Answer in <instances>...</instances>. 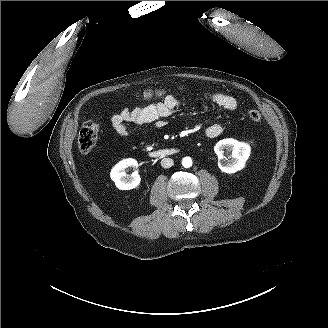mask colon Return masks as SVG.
Wrapping results in <instances>:
<instances>
[{
    "label": "colon",
    "instance_id": "1",
    "mask_svg": "<svg viewBox=\"0 0 328 328\" xmlns=\"http://www.w3.org/2000/svg\"><path fill=\"white\" fill-rule=\"evenodd\" d=\"M166 93L165 90L146 91L143 93L142 98L145 101H151L164 97ZM248 116L254 122H260L262 119L261 113L255 109L250 110ZM98 132L99 127L93 121H86L82 125L77 138V146L81 153L87 154L93 149L97 141Z\"/></svg>",
    "mask_w": 328,
    "mask_h": 328
}]
</instances>
